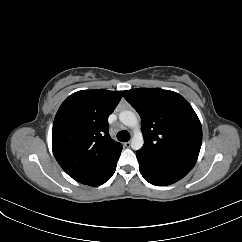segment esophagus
<instances>
[{
  "mask_svg": "<svg viewBox=\"0 0 242 242\" xmlns=\"http://www.w3.org/2000/svg\"><path fill=\"white\" fill-rule=\"evenodd\" d=\"M124 146L127 147V148H129V147L131 146V142H130V141L125 142V143H124Z\"/></svg>",
  "mask_w": 242,
  "mask_h": 242,
  "instance_id": "obj_1",
  "label": "esophagus"
}]
</instances>
